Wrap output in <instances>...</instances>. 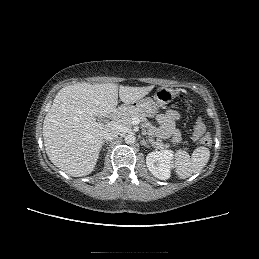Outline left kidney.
<instances>
[{
  "instance_id": "left-kidney-1",
  "label": "left kidney",
  "mask_w": 259,
  "mask_h": 259,
  "mask_svg": "<svg viewBox=\"0 0 259 259\" xmlns=\"http://www.w3.org/2000/svg\"><path fill=\"white\" fill-rule=\"evenodd\" d=\"M171 150L154 151L147 155L146 164L149 171L160 180L170 178V169L173 162Z\"/></svg>"
}]
</instances>
